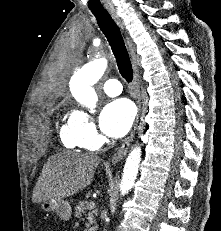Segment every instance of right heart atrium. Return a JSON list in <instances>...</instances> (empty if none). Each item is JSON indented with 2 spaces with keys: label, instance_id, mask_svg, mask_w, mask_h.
<instances>
[{
  "label": "right heart atrium",
  "instance_id": "right-heart-atrium-1",
  "mask_svg": "<svg viewBox=\"0 0 221 231\" xmlns=\"http://www.w3.org/2000/svg\"><path fill=\"white\" fill-rule=\"evenodd\" d=\"M70 118L81 145L88 149L96 147L100 136L93 118L82 109L74 110Z\"/></svg>",
  "mask_w": 221,
  "mask_h": 231
}]
</instances>
